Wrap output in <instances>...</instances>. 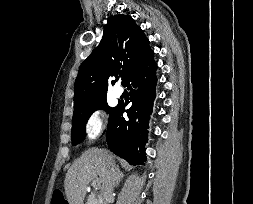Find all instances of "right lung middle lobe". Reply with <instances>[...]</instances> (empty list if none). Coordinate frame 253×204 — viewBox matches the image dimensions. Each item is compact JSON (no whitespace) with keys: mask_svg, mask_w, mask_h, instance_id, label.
Segmentation results:
<instances>
[{"mask_svg":"<svg viewBox=\"0 0 253 204\" xmlns=\"http://www.w3.org/2000/svg\"><path fill=\"white\" fill-rule=\"evenodd\" d=\"M98 109H105L107 112H109L110 119L115 108H110L106 103V98L102 97L99 100L74 111L71 133L73 145L78 144L84 139L86 122L91 114Z\"/></svg>","mask_w":253,"mask_h":204,"instance_id":"obj_1","label":"right lung middle lobe"}]
</instances>
